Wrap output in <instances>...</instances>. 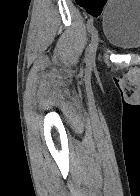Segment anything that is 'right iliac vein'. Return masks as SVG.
Segmentation results:
<instances>
[{
	"label": "right iliac vein",
	"mask_w": 140,
	"mask_h": 196,
	"mask_svg": "<svg viewBox=\"0 0 140 196\" xmlns=\"http://www.w3.org/2000/svg\"><path fill=\"white\" fill-rule=\"evenodd\" d=\"M98 43H99V35L97 30L94 28L92 29L91 32V44L85 59L88 65H91L94 61L95 53L98 48Z\"/></svg>",
	"instance_id": "1"
}]
</instances>
